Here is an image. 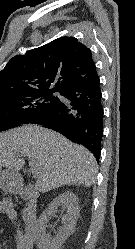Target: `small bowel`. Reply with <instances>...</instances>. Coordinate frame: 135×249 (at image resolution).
Segmentation results:
<instances>
[{
    "label": "small bowel",
    "instance_id": "obj_1",
    "mask_svg": "<svg viewBox=\"0 0 135 249\" xmlns=\"http://www.w3.org/2000/svg\"><path fill=\"white\" fill-rule=\"evenodd\" d=\"M0 213L5 214L10 218L14 223L18 224L19 218L17 212L14 210L13 205L8 200L0 201ZM34 235H35V226L33 223H28L26 229L17 230V247L16 249H33L34 246ZM1 248V244H0Z\"/></svg>",
    "mask_w": 135,
    "mask_h": 249
}]
</instances>
